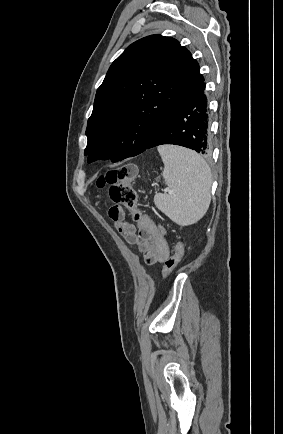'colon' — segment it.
I'll return each instance as SVG.
<instances>
[{
    "label": "colon",
    "mask_w": 283,
    "mask_h": 434,
    "mask_svg": "<svg viewBox=\"0 0 283 434\" xmlns=\"http://www.w3.org/2000/svg\"><path fill=\"white\" fill-rule=\"evenodd\" d=\"M137 174L134 164H125L107 171L97 180L98 187L108 186L110 199L117 205L126 207L134 220L142 217V211L137 205V194L132 184ZM183 256V245L176 242L172 248V254L165 261L162 275L167 278L177 267Z\"/></svg>",
    "instance_id": "obj_1"
}]
</instances>
